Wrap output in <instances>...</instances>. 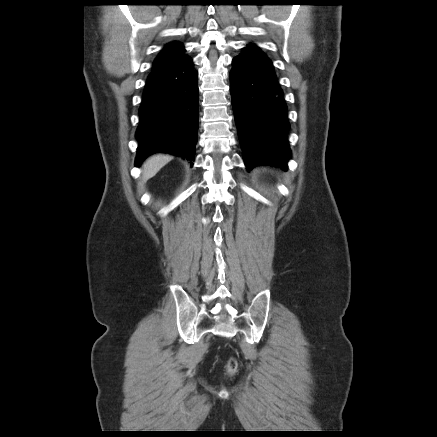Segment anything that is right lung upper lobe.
<instances>
[{
	"mask_svg": "<svg viewBox=\"0 0 437 437\" xmlns=\"http://www.w3.org/2000/svg\"><path fill=\"white\" fill-rule=\"evenodd\" d=\"M185 56L184 46L178 42L167 44L155 59L153 69L175 62Z\"/></svg>",
	"mask_w": 437,
	"mask_h": 437,
	"instance_id": "1",
	"label": "right lung upper lobe"
}]
</instances>
